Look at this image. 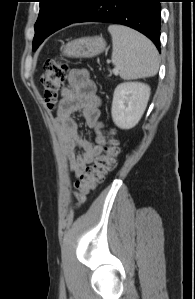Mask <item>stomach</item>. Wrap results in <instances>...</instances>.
<instances>
[{"label": "stomach", "mask_w": 195, "mask_h": 299, "mask_svg": "<svg viewBox=\"0 0 195 299\" xmlns=\"http://www.w3.org/2000/svg\"><path fill=\"white\" fill-rule=\"evenodd\" d=\"M105 49V40L101 36H95L68 42L61 48V51L67 57L90 58L102 53Z\"/></svg>", "instance_id": "0dacf381"}]
</instances>
